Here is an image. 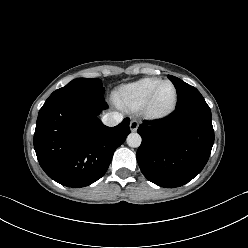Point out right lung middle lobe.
Segmentation results:
<instances>
[{"label":"right lung middle lobe","mask_w":248,"mask_h":248,"mask_svg":"<svg viewBox=\"0 0 248 248\" xmlns=\"http://www.w3.org/2000/svg\"><path fill=\"white\" fill-rule=\"evenodd\" d=\"M104 87L100 79H86L78 78L69 82L66 86L54 91L51 95L65 93V92H84L88 94L100 95L104 94ZM50 95V96H51Z\"/></svg>","instance_id":"dd1d6c3e"}]
</instances>
